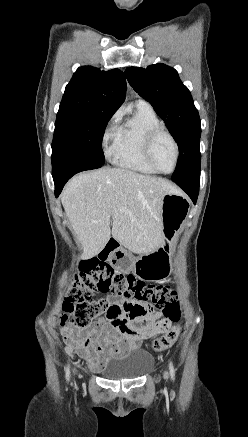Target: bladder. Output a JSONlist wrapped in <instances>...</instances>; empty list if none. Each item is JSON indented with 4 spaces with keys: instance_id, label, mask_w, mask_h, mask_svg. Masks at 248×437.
<instances>
[{
    "instance_id": "obj_1",
    "label": "bladder",
    "mask_w": 248,
    "mask_h": 437,
    "mask_svg": "<svg viewBox=\"0 0 248 437\" xmlns=\"http://www.w3.org/2000/svg\"><path fill=\"white\" fill-rule=\"evenodd\" d=\"M152 363L153 357L149 353L136 350L111 363L104 371V375L110 380L136 379L141 377Z\"/></svg>"
}]
</instances>
